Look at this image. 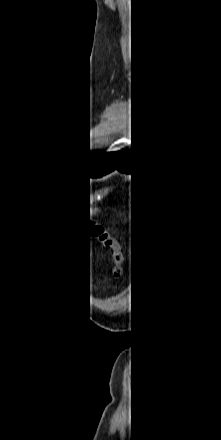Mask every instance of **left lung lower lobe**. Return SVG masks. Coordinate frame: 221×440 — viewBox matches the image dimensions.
Wrapping results in <instances>:
<instances>
[{
  "label": "left lung lower lobe",
  "mask_w": 221,
  "mask_h": 440,
  "mask_svg": "<svg viewBox=\"0 0 221 440\" xmlns=\"http://www.w3.org/2000/svg\"><path fill=\"white\" fill-rule=\"evenodd\" d=\"M146 165L140 153L136 150H129L126 155L120 159L114 165H111L108 168H104L103 170H99L96 173V176L106 175L114 170H118L125 173H132L134 176H140Z\"/></svg>",
  "instance_id": "obj_1"
}]
</instances>
